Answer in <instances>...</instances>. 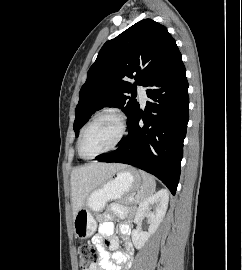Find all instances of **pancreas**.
Returning a JSON list of instances; mask_svg holds the SVG:
<instances>
[{
  "label": "pancreas",
  "mask_w": 242,
  "mask_h": 270,
  "mask_svg": "<svg viewBox=\"0 0 242 270\" xmlns=\"http://www.w3.org/2000/svg\"><path fill=\"white\" fill-rule=\"evenodd\" d=\"M125 204H134V201L131 199V196H128L124 199Z\"/></svg>",
  "instance_id": "1"
}]
</instances>
